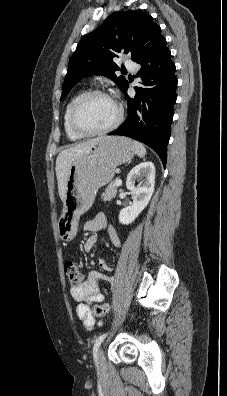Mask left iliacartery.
Returning <instances> with one entry per match:
<instances>
[{
	"label": "left iliac artery",
	"mask_w": 227,
	"mask_h": 396,
	"mask_svg": "<svg viewBox=\"0 0 227 396\" xmlns=\"http://www.w3.org/2000/svg\"><path fill=\"white\" fill-rule=\"evenodd\" d=\"M106 336H107V333L100 335L94 343L93 356H94L96 365H97V352H98L99 346L101 345L102 341L105 339Z\"/></svg>",
	"instance_id": "left-iliac-artery-1"
}]
</instances>
